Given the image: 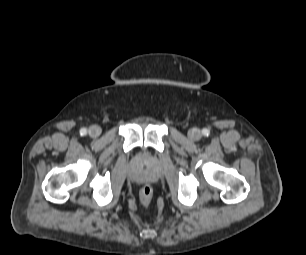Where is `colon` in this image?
I'll return each mask as SVG.
<instances>
[{"label":"colon","mask_w":306,"mask_h":255,"mask_svg":"<svg viewBox=\"0 0 306 255\" xmlns=\"http://www.w3.org/2000/svg\"><path fill=\"white\" fill-rule=\"evenodd\" d=\"M153 190L150 185H144L140 190V201L143 205H148L152 199Z\"/></svg>","instance_id":"1"}]
</instances>
